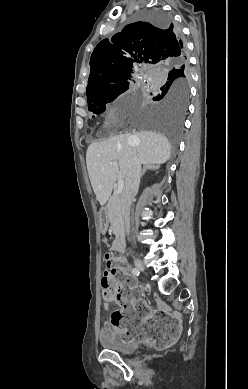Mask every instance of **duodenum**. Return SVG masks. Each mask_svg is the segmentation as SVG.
<instances>
[{
	"label": "duodenum",
	"mask_w": 248,
	"mask_h": 389,
	"mask_svg": "<svg viewBox=\"0 0 248 389\" xmlns=\"http://www.w3.org/2000/svg\"><path fill=\"white\" fill-rule=\"evenodd\" d=\"M115 247L120 254H123L125 246H124V240L122 234H120L119 237L117 238Z\"/></svg>",
	"instance_id": "obj_1"
}]
</instances>
